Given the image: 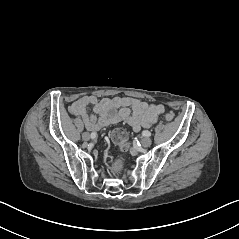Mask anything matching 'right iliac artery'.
Wrapping results in <instances>:
<instances>
[{
  "label": "right iliac artery",
  "instance_id": "obj_1",
  "mask_svg": "<svg viewBox=\"0 0 239 239\" xmlns=\"http://www.w3.org/2000/svg\"><path fill=\"white\" fill-rule=\"evenodd\" d=\"M96 133L95 132H93V133H91V137L94 139L95 137H96Z\"/></svg>",
  "mask_w": 239,
  "mask_h": 239
}]
</instances>
